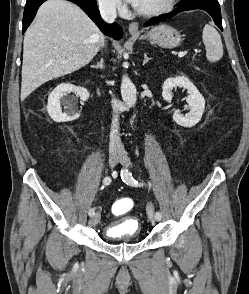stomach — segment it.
<instances>
[{
	"instance_id": "obj_1",
	"label": "stomach",
	"mask_w": 249,
	"mask_h": 294,
	"mask_svg": "<svg viewBox=\"0 0 249 294\" xmlns=\"http://www.w3.org/2000/svg\"><path fill=\"white\" fill-rule=\"evenodd\" d=\"M134 35L139 36L138 33ZM141 38H146L164 48H174L181 43L180 33L175 28L166 24L153 27L146 35L141 36Z\"/></svg>"
}]
</instances>
